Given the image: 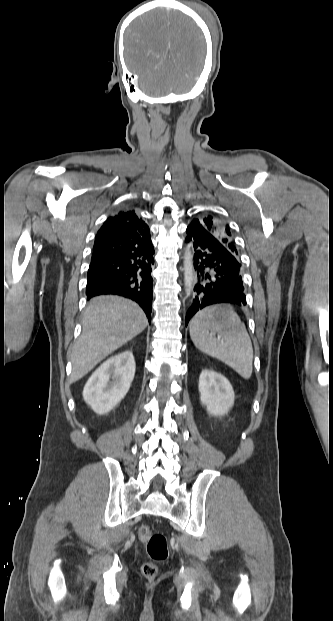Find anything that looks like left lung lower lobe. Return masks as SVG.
Here are the masks:
<instances>
[{
  "label": "left lung lower lobe",
  "mask_w": 333,
  "mask_h": 621,
  "mask_svg": "<svg viewBox=\"0 0 333 621\" xmlns=\"http://www.w3.org/2000/svg\"><path fill=\"white\" fill-rule=\"evenodd\" d=\"M185 241L193 251L195 298L186 325L200 309L219 303L245 305L241 264L237 257L203 227L189 225Z\"/></svg>",
  "instance_id": "1"
}]
</instances>
